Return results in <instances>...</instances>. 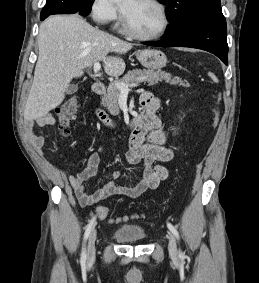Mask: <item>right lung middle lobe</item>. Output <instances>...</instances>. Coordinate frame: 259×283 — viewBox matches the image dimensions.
<instances>
[{
	"label": "right lung middle lobe",
	"mask_w": 259,
	"mask_h": 283,
	"mask_svg": "<svg viewBox=\"0 0 259 283\" xmlns=\"http://www.w3.org/2000/svg\"><path fill=\"white\" fill-rule=\"evenodd\" d=\"M83 1L85 2V11L87 12L88 15L91 11V6L94 0H83Z\"/></svg>",
	"instance_id": "dd1d6c3e"
}]
</instances>
